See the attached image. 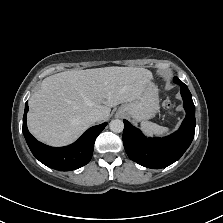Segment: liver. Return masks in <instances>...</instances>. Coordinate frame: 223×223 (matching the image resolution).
Segmentation results:
<instances>
[{
    "label": "liver",
    "mask_w": 223,
    "mask_h": 223,
    "mask_svg": "<svg viewBox=\"0 0 223 223\" xmlns=\"http://www.w3.org/2000/svg\"><path fill=\"white\" fill-rule=\"evenodd\" d=\"M153 78L134 67L71 70L45 78L29 99V131L51 146L73 142L94 124L89 113L98 109L103 120L111 107L139 98Z\"/></svg>",
    "instance_id": "6515ba94"
}]
</instances>
